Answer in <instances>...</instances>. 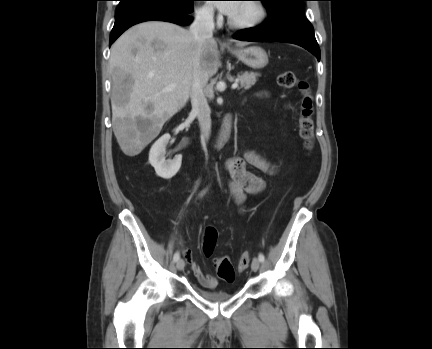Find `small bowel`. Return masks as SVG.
Listing matches in <instances>:
<instances>
[{
	"label": "small bowel",
	"instance_id": "small-bowel-1",
	"mask_svg": "<svg viewBox=\"0 0 432 349\" xmlns=\"http://www.w3.org/2000/svg\"><path fill=\"white\" fill-rule=\"evenodd\" d=\"M251 165L267 174L273 175L277 172L274 164L253 150H246L242 157H233L226 161V170L230 176V192L238 205H243L246 194L257 195L264 191L265 181L256 174L247 170ZM184 256L189 261L191 269L199 284L206 288H214L218 285V279L205 274L201 267L193 261L190 250H184Z\"/></svg>",
	"mask_w": 432,
	"mask_h": 349
}]
</instances>
